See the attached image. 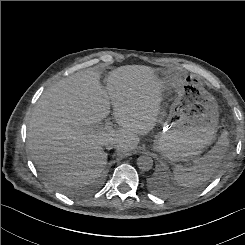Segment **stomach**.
Wrapping results in <instances>:
<instances>
[{
  "label": "stomach",
  "mask_w": 245,
  "mask_h": 245,
  "mask_svg": "<svg viewBox=\"0 0 245 245\" xmlns=\"http://www.w3.org/2000/svg\"><path fill=\"white\" fill-rule=\"evenodd\" d=\"M164 87L177 93L163 131L154 141V148L173 162L188 161L199 156L216 139L219 128V107L215 97L192 75H171L166 71Z\"/></svg>",
  "instance_id": "1"
}]
</instances>
